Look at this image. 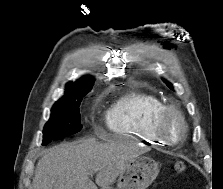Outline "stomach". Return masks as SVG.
Wrapping results in <instances>:
<instances>
[{
  "instance_id": "0dacf381",
  "label": "stomach",
  "mask_w": 223,
  "mask_h": 189,
  "mask_svg": "<svg viewBox=\"0 0 223 189\" xmlns=\"http://www.w3.org/2000/svg\"><path fill=\"white\" fill-rule=\"evenodd\" d=\"M159 173L158 163L146 156L131 160L119 175L116 188L108 189H146Z\"/></svg>"
}]
</instances>
